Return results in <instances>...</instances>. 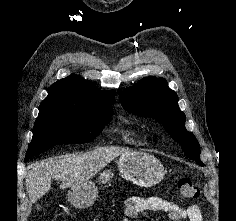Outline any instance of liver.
Instances as JSON below:
<instances>
[{"instance_id":"obj_1","label":"liver","mask_w":236,"mask_h":221,"mask_svg":"<svg viewBox=\"0 0 236 221\" xmlns=\"http://www.w3.org/2000/svg\"><path fill=\"white\" fill-rule=\"evenodd\" d=\"M127 150L115 146L99 147L79 154L36 162L26 176V190L32 203L49 192L51 181L60 180L61 188L82 184L94 177L103 167Z\"/></svg>"}]
</instances>
